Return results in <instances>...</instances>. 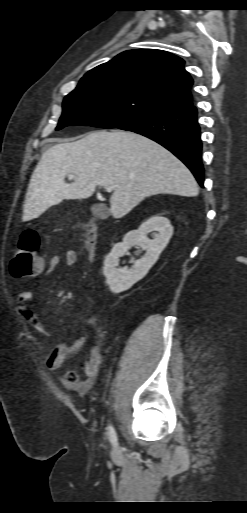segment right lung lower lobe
<instances>
[{
    "instance_id": "1",
    "label": "right lung lower lobe",
    "mask_w": 247,
    "mask_h": 513,
    "mask_svg": "<svg viewBox=\"0 0 247 513\" xmlns=\"http://www.w3.org/2000/svg\"><path fill=\"white\" fill-rule=\"evenodd\" d=\"M119 128L146 136L167 148L191 170L203 187L202 143L195 106L168 109Z\"/></svg>"
}]
</instances>
